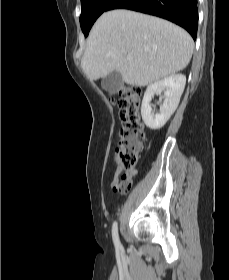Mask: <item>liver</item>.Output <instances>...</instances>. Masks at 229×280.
Instances as JSON below:
<instances>
[{"mask_svg": "<svg viewBox=\"0 0 229 280\" xmlns=\"http://www.w3.org/2000/svg\"><path fill=\"white\" fill-rule=\"evenodd\" d=\"M193 46L192 37L169 21L113 10L92 27L81 66L90 81L117 71L125 83L141 87L185 69Z\"/></svg>", "mask_w": 229, "mask_h": 280, "instance_id": "liver-1", "label": "liver"}]
</instances>
